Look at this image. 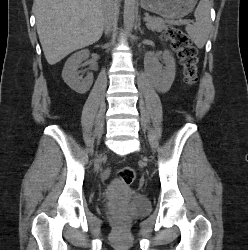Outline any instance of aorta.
Returning a JSON list of instances; mask_svg holds the SVG:
<instances>
[{
    "instance_id": "aorta-1",
    "label": "aorta",
    "mask_w": 248,
    "mask_h": 250,
    "mask_svg": "<svg viewBox=\"0 0 248 250\" xmlns=\"http://www.w3.org/2000/svg\"><path fill=\"white\" fill-rule=\"evenodd\" d=\"M136 0H125L124 3V32L130 35L134 26Z\"/></svg>"
}]
</instances>
